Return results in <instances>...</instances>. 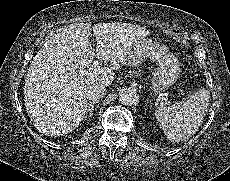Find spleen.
Returning <instances> with one entry per match:
<instances>
[{"mask_svg":"<svg viewBox=\"0 0 230 181\" xmlns=\"http://www.w3.org/2000/svg\"><path fill=\"white\" fill-rule=\"evenodd\" d=\"M208 92L197 91L170 107H160L155 116L168 140L190 138L197 131L207 108Z\"/></svg>","mask_w":230,"mask_h":181,"instance_id":"obj_1","label":"spleen"}]
</instances>
